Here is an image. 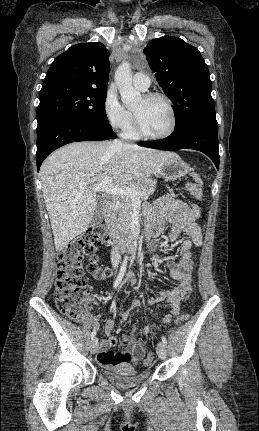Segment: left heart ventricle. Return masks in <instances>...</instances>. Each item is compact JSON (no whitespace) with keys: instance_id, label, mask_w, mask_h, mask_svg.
<instances>
[{"instance_id":"left-heart-ventricle-1","label":"left heart ventricle","mask_w":259,"mask_h":431,"mask_svg":"<svg viewBox=\"0 0 259 431\" xmlns=\"http://www.w3.org/2000/svg\"><path fill=\"white\" fill-rule=\"evenodd\" d=\"M133 112L137 115L141 126L149 134H161L170 125V113L161 99L145 100L143 97L134 106Z\"/></svg>"}]
</instances>
